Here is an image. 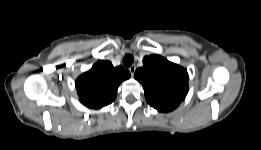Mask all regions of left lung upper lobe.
<instances>
[{
    "label": "left lung upper lobe",
    "mask_w": 261,
    "mask_h": 150,
    "mask_svg": "<svg viewBox=\"0 0 261 150\" xmlns=\"http://www.w3.org/2000/svg\"><path fill=\"white\" fill-rule=\"evenodd\" d=\"M134 74L143 86L146 101L160 112L175 109L188 92L187 71L159 55L146 56Z\"/></svg>",
    "instance_id": "left-lung-upper-lobe-1"
}]
</instances>
